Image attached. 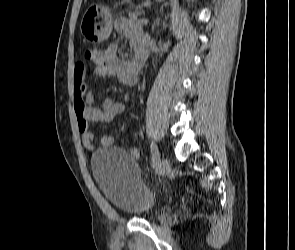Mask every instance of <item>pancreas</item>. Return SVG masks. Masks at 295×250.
I'll return each mask as SVG.
<instances>
[{
	"mask_svg": "<svg viewBox=\"0 0 295 250\" xmlns=\"http://www.w3.org/2000/svg\"><path fill=\"white\" fill-rule=\"evenodd\" d=\"M140 15H141V12H139V11L129 13V18H130L131 22L133 23V25L136 27L141 26L140 21L138 20V16H140Z\"/></svg>",
	"mask_w": 295,
	"mask_h": 250,
	"instance_id": "obj_1",
	"label": "pancreas"
}]
</instances>
